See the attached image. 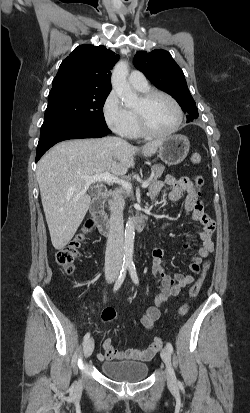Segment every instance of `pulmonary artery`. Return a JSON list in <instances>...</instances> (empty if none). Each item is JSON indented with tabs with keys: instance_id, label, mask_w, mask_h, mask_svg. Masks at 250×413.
<instances>
[{
	"instance_id": "pulmonary-artery-1",
	"label": "pulmonary artery",
	"mask_w": 250,
	"mask_h": 413,
	"mask_svg": "<svg viewBox=\"0 0 250 413\" xmlns=\"http://www.w3.org/2000/svg\"><path fill=\"white\" fill-rule=\"evenodd\" d=\"M130 85L137 89H144L147 87V81L143 73L140 71H132L128 77Z\"/></svg>"
}]
</instances>
